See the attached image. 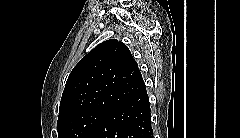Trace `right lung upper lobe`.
I'll return each instance as SVG.
<instances>
[{"mask_svg": "<svg viewBox=\"0 0 240 138\" xmlns=\"http://www.w3.org/2000/svg\"><path fill=\"white\" fill-rule=\"evenodd\" d=\"M144 90L142 75L128 47L115 39L104 41L71 71L58 119L84 110L109 112Z\"/></svg>", "mask_w": 240, "mask_h": 138, "instance_id": "1", "label": "right lung upper lobe"}]
</instances>
